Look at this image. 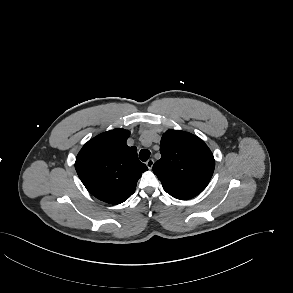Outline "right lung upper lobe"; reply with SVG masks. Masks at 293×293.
Here are the masks:
<instances>
[{"instance_id":"1","label":"right lung upper lobe","mask_w":293,"mask_h":293,"mask_svg":"<svg viewBox=\"0 0 293 293\" xmlns=\"http://www.w3.org/2000/svg\"><path fill=\"white\" fill-rule=\"evenodd\" d=\"M130 132L114 129L88 141L76 157L75 169L87 190L110 204L126 201L148 168L138 159L136 147L126 144Z\"/></svg>"}]
</instances>
